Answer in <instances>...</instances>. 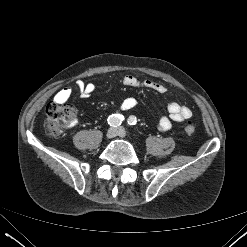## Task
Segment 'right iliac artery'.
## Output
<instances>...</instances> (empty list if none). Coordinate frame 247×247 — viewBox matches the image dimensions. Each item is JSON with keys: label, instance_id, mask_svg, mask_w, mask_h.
Returning <instances> with one entry per match:
<instances>
[{"label": "right iliac artery", "instance_id": "right-iliac-artery-1", "mask_svg": "<svg viewBox=\"0 0 247 247\" xmlns=\"http://www.w3.org/2000/svg\"><path fill=\"white\" fill-rule=\"evenodd\" d=\"M124 120V116L120 114H112L108 118V124L112 127H118L121 125L122 121Z\"/></svg>", "mask_w": 247, "mask_h": 247}]
</instances>
